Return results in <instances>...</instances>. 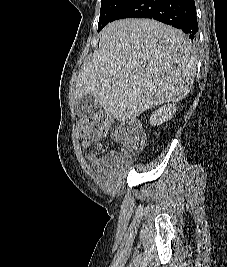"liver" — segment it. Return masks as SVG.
Segmentation results:
<instances>
[{
  "instance_id": "6515ba94",
  "label": "liver",
  "mask_w": 227,
  "mask_h": 267,
  "mask_svg": "<svg viewBox=\"0 0 227 267\" xmlns=\"http://www.w3.org/2000/svg\"><path fill=\"white\" fill-rule=\"evenodd\" d=\"M196 50L180 30L151 19H123L100 33L99 50L81 69L75 98L91 94L119 121L191 90Z\"/></svg>"
}]
</instances>
